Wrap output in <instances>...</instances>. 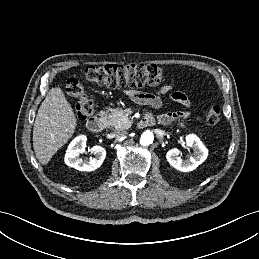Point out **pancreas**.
<instances>
[{
    "label": "pancreas",
    "mask_w": 259,
    "mask_h": 259,
    "mask_svg": "<svg viewBox=\"0 0 259 259\" xmlns=\"http://www.w3.org/2000/svg\"><path fill=\"white\" fill-rule=\"evenodd\" d=\"M106 121L109 126L115 129H128L132 124V121L121 108L112 109L110 113L106 114ZM178 125L182 128L185 127L184 123H179Z\"/></svg>",
    "instance_id": "cf45deb5"
}]
</instances>
